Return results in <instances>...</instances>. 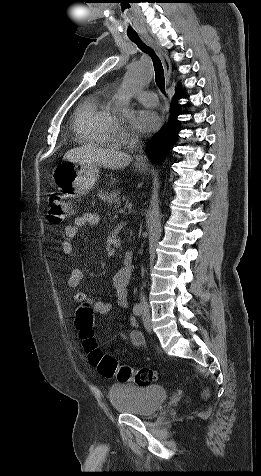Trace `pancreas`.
<instances>
[{
  "instance_id": "obj_1",
  "label": "pancreas",
  "mask_w": 261,
  "mask_h": 476,
  "mask_svg": "<svg viewBox=\"0 0 261 476\" xmlns=\"http://www.w3.org/2000/svg\"><path fill=\"white\" fill-rule=\"evenodd\" d=\"M120 192H111V193H100L99 196L107 202L108 206L114 205V209H117L121 206V199L119 196Z\"/></svg>"
}]
</instances>
